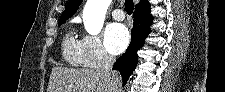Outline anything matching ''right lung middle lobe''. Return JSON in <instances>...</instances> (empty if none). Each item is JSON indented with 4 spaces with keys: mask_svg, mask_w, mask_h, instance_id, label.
Returning a JSON list of instances; mask_svg holds the SVG:
<instances>
[{
    "mask_svg": "<svg viewBox=\"0 0 225 92\" xmlns=\"http://www.w3.org/2000/svg\"><path fill=\"white\" fill-rule=\"evenodd\" d=\"M65 22H66V20H61V21H59L58 25L60 26V25H62Z\"/></svg>",
    "mask_w": 225,
    "mask_h": 92,
    "instance_id": "obj_1",
    "label": "right lung middle lobe"
}]
</instances>
